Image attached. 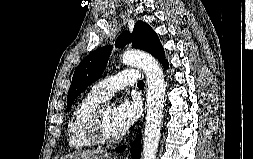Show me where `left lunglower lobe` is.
<instances>
[{"mask_svg": "<svg viewBox=\"0 0 253 159\" xmlns=\"http://www.w3.org/2000/svg\"><path fill=\"white\" fill-rule=\"evenodd\" d=\"M163 67L165 69L168 68V61L165 60L163 62ZM126 146H121L116 148L115 150L117 152H123L125 150ZM140 155H141V134L138 135V137L136 138V140L134 141V143L131 145V158L132 159H140Z\"/></svg>", "mask_w": 253, "mask_h": 159, "instance_id": "left-lung-lower-lobe-1", "label": "left lung lower lobe"}]
</instances>
